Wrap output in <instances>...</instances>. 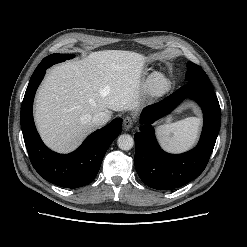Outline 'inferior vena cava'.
Here are the masks:
<instances>
[{
    "instance_id": "obj_1",
    "label": "inferior vena cava",
    "mask_w": 247,
    "mask_h": 247,
    "mask_svg": "<svg viewBox=\"0 0 247 247\" xmlns=\"http://www.w3.org/2000/svg\"><path fill=\"white\" fill-rule=\"evenodd\" d=\"M109 114L106 112H98L92 116V123L96 126H103L109 121Z\"/></svg>"
}]
</instances>
